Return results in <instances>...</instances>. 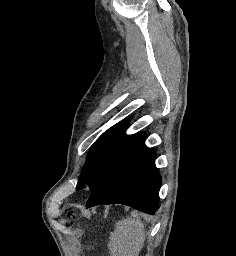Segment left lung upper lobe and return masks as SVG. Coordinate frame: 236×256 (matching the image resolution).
<instances>
[{
	"mask_svg": "<svg viewBox=\"0 0 236 256\" xmlns=\"http://www.w3.org/2000/svg\"><path fill=\"white\" fill-rule=\"evenodd\" d=\"M129 122L121 121L105 131L92 145L76 189L94 190L111 172L123 151L134 138L125 135Z\"/></svg>",
	"mask_w": 236,
	"mask_h": 256,
	"instance_id": "5c2ea615",
	"label": "left lung upper lobe"
}]
</instances>
